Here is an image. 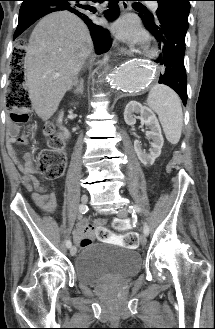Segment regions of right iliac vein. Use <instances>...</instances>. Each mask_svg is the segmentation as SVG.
Wrapping results in <instances>:
<instances>
[{
  "mask_svg": "<svg viewBox=\"0 0 215 329\" xmlns=\"http://www.w3.org/2000/svg\"><path fill=\"white\" fill-rule=\"evenodd\" d=\"M87 202H88V197H87V195H82V197H81V203H82V205H86ZM76 252H77L76 247H75V246H72L71 249H70V254H71L72 256H75V255H76Z\"/></svg>",
  "mask_w": 215,
  "mask_h": 329,
  "instance_id": "obj_1",
  "label": "right iliac vein"
}]
</instances>
